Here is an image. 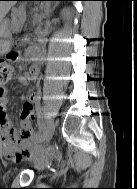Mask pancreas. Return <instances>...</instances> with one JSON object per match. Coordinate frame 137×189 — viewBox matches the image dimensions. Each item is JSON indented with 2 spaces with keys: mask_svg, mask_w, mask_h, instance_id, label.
Returning <instances> with one entry per match:
<instances>
[{
  "mask_svg": "<svg viewBox=\"0 0 137 189\" xmlns=\"http://www.w3.org/2000/svg\"><path fill=\"white\" fill-rule=\"evenodd\" d=\"M25 20V11L23 7L13 8L12 9V25L21 26Z\"/></svg>",
  "mask_w": 137,
  "mask_h": 189,
  "instance_id": "obj_1",
  "label": "pancreas"
}]
</instances>
